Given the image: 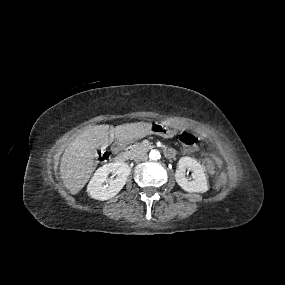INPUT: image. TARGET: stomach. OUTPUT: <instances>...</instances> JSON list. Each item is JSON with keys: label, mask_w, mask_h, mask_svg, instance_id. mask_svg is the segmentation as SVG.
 Here are the masks:
<instances>
[{"label": "stomach", "mask_w": 285, "mask_h": 285, "mask_svg": "<svg viewBox=\"0 0 285 285\" xmlns=\"http://www.w3.org/2000/svg\"><path fill=\"white\" fill-rule=\"evenodd\" d=\"M171 133L172 131L168 127L162 124L155 123V124H151V127L146 134H157L163 137H167Z\"/></svg>", "instance_id": "1"}]
</instances>
